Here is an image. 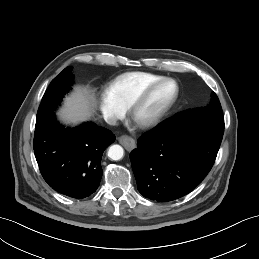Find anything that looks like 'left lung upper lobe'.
Segmentation results:
<instances>
[{
	"mask_svg": "<svg viewBox=\"0 0 259 259\" xmlns=\"http://www.w3.org/2000/svg\"><path fill=\"white\" fill-rule=\"evenodd\" d=\"M189 114H196V115L210 116V117H223L220 101L214 92L212 93L211 104L208 105L207 107L189 109V110L177 113L175 116L167 119L166 121H171L181 116H185Z\"/></svg>",
	"mask_w": 259,
	"mask_h": 259,
	"instance_id": "left-lung-upper-lobe-1",
	"label": "left lung upper lobe"
}]
</instances>
